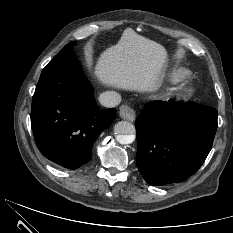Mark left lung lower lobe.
Returning a JSON list of instances; mask_svg holds the SVG:
<instances>
[{"mask_svg":"<svg viewBox=\"0 0 233 233\" xmlns=\"http://www.w3.org/2000/svg\"><path fill=\"white\" fill-rule=\"evenodd\" d=\"M217 111L195 103L149 102L136 120L137 167L147 183H179L209 154Z\"/></svg>","mask_w":233,"mask_h":233,"instance_id":"0a47b994","label":"left lung lower lobe"}]
</instances>
